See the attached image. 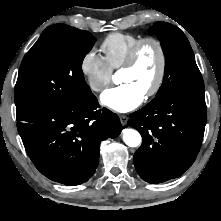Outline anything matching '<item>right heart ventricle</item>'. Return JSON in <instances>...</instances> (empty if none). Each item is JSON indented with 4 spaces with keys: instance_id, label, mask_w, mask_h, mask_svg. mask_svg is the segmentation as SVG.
<instances>
[{
    "instance_id": "right-heart-ventricle-1",
    "label": "right heart ventricle",
    "mask_w": 221,
    "mask_h": 221,
    "mask_svg": "<svg viewBox=\"0 0 221 221\" xmlns=\"http://www.w3.org/2000/svg\"><path fill=\"white\" fill-rule=\"evenodd\" d=\"M141 39L133 33L115 32L105 37L101 43V51L112 71L122 67L132 46Z\"/></svg>"
}]
</instances>
